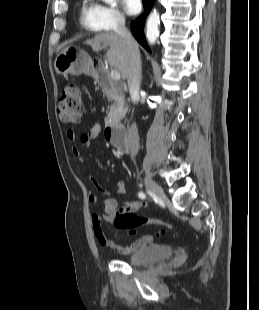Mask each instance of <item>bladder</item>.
Returning <instances> with one entry per match:
<instances>
[{
  "instance_id": "obj_1",
  "label": "bladder",
  "mask_w": 259,
  "mask_h": 310,
  "mask_svg": "<svg viewBox=\"0 0 259 310\" xmlns=\"http://www.w3.org/2000/svg\"><path fill=\"white\" fill-rule=\"evenodd\" d=\"M173 255L172 247L162 244H147L130 254L125 262L131 266H145L169 259Z\"/></svg>"
}]
</instances>
